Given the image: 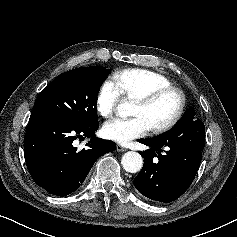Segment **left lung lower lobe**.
Wrapping results in <instances>:
<instances>
[{
	"label": "left lung lower lobe",
	"instance_id": "obj_1",
	"mask_svg": "<svg viewBox=\"0 0 237 237\" xmlns=\"http://www.w3.org/2000/svg\"><path fill=\"white\" fill-rule=\"evenodd\" d=\"M205 126L189 118L171 131L140 143L150 148L139 152L144 166L134 180V186L145 197L172 202L193 182L202 159Z\"/></svg>",
	"mask_w": 237,
	"mask_h": 237
}]
</instances>
